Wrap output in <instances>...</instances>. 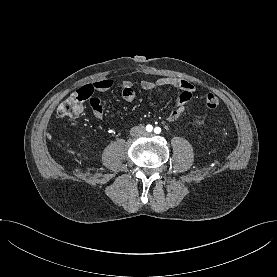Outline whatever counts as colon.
I'll return each instance as SVG.
<instances>
[{"label": "colon", "instance_id": "obj_1", "mask_svg": "<svg viewBox=\"0 0 277 277\" xmlns=\"http://www.w3.org/2000/svg\"><path fill=\"white\" fill-rule=\"evenodd\" d=\"M91 97L89 90H78L64 100L58 107V114L62 117L75 118L84 111V103ZM205 104L208 108L214 109L219 105V99L216 95L208 93L205 96Z\"/></svg>", "mask_w": 277, "mask_h": 277}]
</instances>
